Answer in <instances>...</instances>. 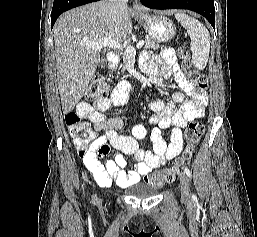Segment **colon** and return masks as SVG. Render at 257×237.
<instances>
[{"label": "colon", "instance_id": "obj_1", "mask_svg": "<svg viewBox=\"0 0 257 237\" xmlns=\"http://www.w3.org/2000/svg\"><path fill=\"white\" fill-rule=\"evenodd\" d=\"M178 54L183 61V67L187 70L189 82L198 90H206L208 88V78L199 70L191 69L188 49L181 46L178 49ZM109 91L110 86L106 79L101 76L96 77L91 81L86 97L89 101L97 103L106 99ZM65 123L70 135L74 140L78 141L81 147L87 145L93 139V136L89 133L87 124L82 121L78 113L73 111L68 112L65 115ZM203 132L204 126L201 121H191L185 131L186 148L182 156L178 158L173 167L160 172L149 173L145 179L146 183L156 188H162L172 182L176 178L180 166L192 158Z\"/></svg>", "mask_w": 257, "mask_h": 237}]
</instances>
